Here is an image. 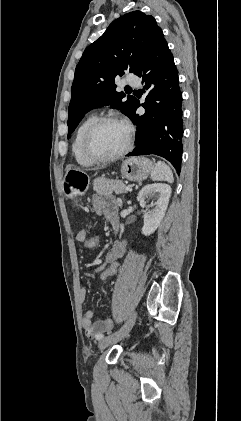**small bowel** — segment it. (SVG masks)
I'll return each mask as SVG.
<instances>
[{
	"label": "small bowel",
	"instance_id": "1",
	"mask_svg": "<svg viewBox=\"0 0 241 421\" xmlns=\"http://www.w3.org/2000/svg\"><path fill=\"white\" fill-rule=\"evenodd\" d=\"M94 207L97 213L105 215L110 219L111 216L117 215V205L113 198L105 197L102 195H96L93 199ZM87 232L85 230H80L76 235V240L79 243H84L87 238ZM126 242L124 240L116 241L111 249L108 251L105 259L99 260L97 262V270H102L106 265L118 261L125 253ZM87 295V291L84 287H81L79 290V298L81 301H84ZM94 312L92 310H87L82 324L85 329V334L89 338H98L102 333L111 326V321L108 318H103L95 323H93Z\"/></svg>",
	"mask_w": 241,
	"mask_h": 421
}]
</instances>
